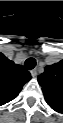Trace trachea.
Here are the masks:
<instances>
[{"instance_id":"3493384b","label":"trachea","mask_w":63,"mask_h":123,"mask_svg":"<svg viewBox=\"0 0 63 123\" xmlns=\"http://www.w3.org/2000/svg\"><path fill=\"white\" fill-rule=\"evenodd\" d=\"M24 66L26 69L31 70L36 66V60L33 57L26 59Z\"/></svg>"}]
</instances>
